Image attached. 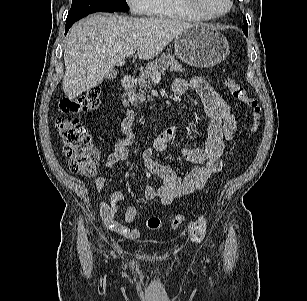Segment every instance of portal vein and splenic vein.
<instances>
[{
  "mask_svg": "<svg viewBox=\"0 0 307 301\" xmlns=\"http://www.w3.org/2000/svg\"><path fill=\"white\" fill-rule=\"evenodd\" d=\"M135 54V50H130V51H128V52H126V56H133ZM166 69L165 68H163V69H161L160 71H158V70H155V71H153V73H152V79L153 80H160V78H161V74L165 71Z\"/></svg>",
  "mask_w": 307,
  "mask_h": 301,
  "instance_id": "obj_1",
  "label": "portal vein and splenic vein"
}]
</instances>
